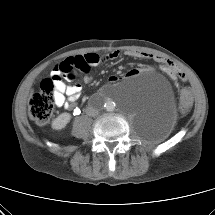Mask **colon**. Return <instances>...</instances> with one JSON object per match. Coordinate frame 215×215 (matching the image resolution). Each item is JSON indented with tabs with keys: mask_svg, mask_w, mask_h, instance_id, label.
Wrapping results in <instances>:
<instances>
[{
	"mask_svg": "<svg viewBox=\"0 0 215 215\" xmlns=\"http://www.w3.org/2000/svg\"><path fill=\"white\" fill-rule=\"evenodd\" d=\"M168 71L177 78H184V73L170 64L168 65ZM76 74L77 70L74 64L69 60H65L55 68V74L50 75L42 81L40 90L33 95L30 102V115L36 122L40 124L47 123L53 114L55 81L62 78H74ZM190 104V96L184 92L180 101L181 112H185Z\"/></svg>",
	"mask_w": 215,
	"mask_h": 215,
	"instance_id": "obj_1",
	"label": "colon"
}]
</instances>
